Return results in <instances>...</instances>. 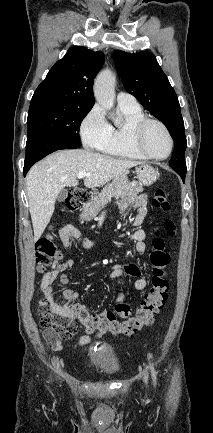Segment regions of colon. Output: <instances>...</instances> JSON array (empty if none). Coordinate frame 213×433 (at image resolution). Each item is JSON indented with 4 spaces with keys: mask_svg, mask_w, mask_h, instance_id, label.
Instances as JSON below:
<instances>
[{
    "mask_svg": "<svg viewBox=\"0 0 213 433\" xmlns=\"http://www.w3.org/2000/svg\"><path fill=\"white\" fill-rule=\"evenodd\" d=\"M90 197L87 190L75 188L69 191L65 206L69 210H78ZM152 204L154 208L168 211L170 204L167 193L163 189H157L154 193ZM164 230L169 237L177 233V226L171 219L164 221ZM36 262L40 269L48 266L57 254V246L54 241V233L40 239L36 245ZM150 262L153 267L151 286L140 301L135 313L131 315V308L124 302L116 304L114 311L103 314L92 313L83 305L71 303L70 308L74 312L78 322L89 331L109 333L114 336L127 338L135 337L144 327L154 323L156 315L164 307L168 298L169 281L167 266L170 255L165 250V242L156 230L152 240ZM68 300L72 299V292L65 294ZM41 324L46 329L54 330L61 338H67L74 334L75 326L71 322L51 315L45 305H41ZM55 341V337H52Z\"/></svg>",
    "mask_w": 213,
    "mask_h": 433,
    "instance_id": "obj_1",
    "label": "colon"
}]
</instances>
